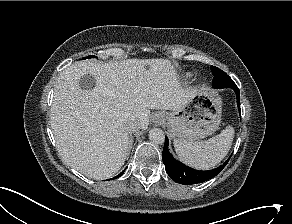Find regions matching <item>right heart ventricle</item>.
I'll return each mask as SVG.
<instances>
[{
  "instance_id": "right-heart-ventricle-1",
  "label": "right heart ventricle",
  "mask_w": 292,
  "mask_h": 224,
  "mask_svg": "<svg viewBox=\"0 0 292 224\" xmlns=\"http://www.w3.org/2000/svg\"><path fill=\"white\" fill-rule=\"evenodd\" d=\"M185 77H186V78L191 77V73H186V74H185Z\"/></svg>"
}]
</instances>
